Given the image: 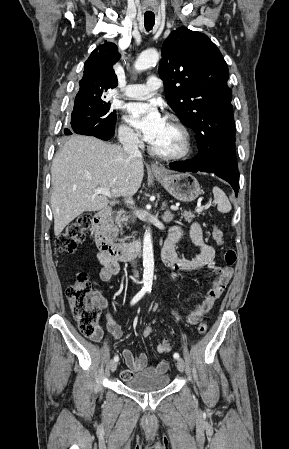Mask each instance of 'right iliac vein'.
I'll list each match as a JSON object with an SVG mask.
<instances>
[{"label":"right iliac vein","mask_w":289,"mask_h":449,"mask_svg":"<svg viewBox=\"0 0 289 449\" xmlns=\"http://www.w3.org/2000/svg\"><path fill=\"white\" fill-rule=\"evenodd\" d=\"M109 368L112 372H114L117 369V362L116 361H111Z\"/></svg>","instance_id":"63e3f726"}]
</instances>
